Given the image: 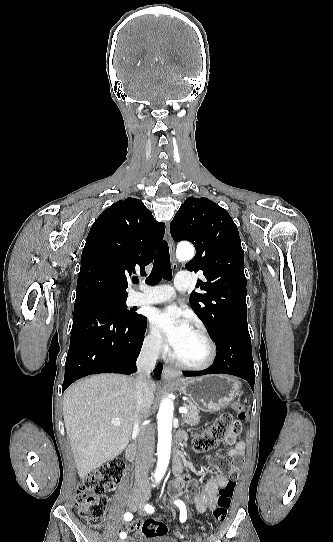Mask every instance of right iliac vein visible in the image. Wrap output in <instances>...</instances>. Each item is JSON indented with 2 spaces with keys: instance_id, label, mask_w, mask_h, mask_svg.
Segmentation results:
<instances>
[{
  "instance_id": "obj_1",
  "label": "right iliac vein",
  "mask_w": 333,
  "mask_h": 542,
  "mask_svg": "<svg viewBox=\"0 0 333 542\" xmlns=\"http://www.w3.org/2000/svg\"><path fill=\"white\" fill-rule=\"evenodd\" d=\"M139 497V495H138ZM128 508L132 511H135L139 505V502L135 501V500H131L130 502H128ZM122 542H127V541H122Z\"/></svg>"
}]
</instances>
